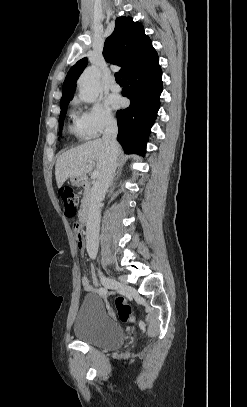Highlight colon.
<instances>
[{
  "label": "colon",
  "mask_w": 247,
  "mask_h": 407,
  "mask_svg": "<svg viewBox=\"0 0 247 407\" xmlns=\"http://www.w3.org/2000/svg\"><path fill=\"white\" fill-rule=\"evenodd\" d=\"M64 204V212L68 217L76 214L77 196L71 187H62L59 191ZM78 225H73V231L76 233ZM114 305L118 318L123 322H134L135 315L124 297L118 296L114 300Z\"/></svg>",
  "instance_id": "obj_1"
}]
</instances>
